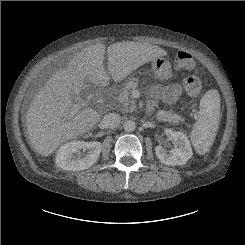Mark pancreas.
Masks as SVG:
<instances>
[{
    "label": "pancreas",
    "instance_id": "pancreas-1",
    "mask_svg": "<svg viewBox=\"0 0 245 245\" xmlns=\"http://www.w3.org/2000/svg\"><path fill=\"white\" fill-rule=\"evenodd\" d=\"M138 87V82L136 78H131L128 83L123 88V91L120 93L118 97V102L122 108L123 112H130L136 109L135 100L131 98L132 91ZM157 118L160 121L179 123L183 122V118L175 114L171 110H159L156 113Z\"/></svg>",
    "mask_w": 245,
    "mask_h": 245
}]
</instances>
